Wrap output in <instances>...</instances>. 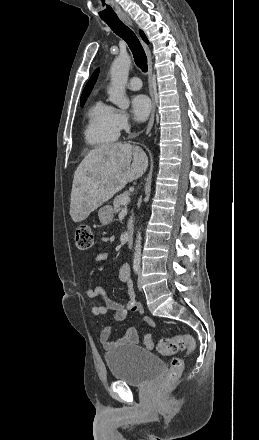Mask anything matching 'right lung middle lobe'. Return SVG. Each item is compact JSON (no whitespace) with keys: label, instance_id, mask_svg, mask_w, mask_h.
<instances>
[{"label":"right lung middle lobe","instance_id":"dd1d6c3e","mask_svg":"<svg viewBox=\"0 0 259 440\" xmlns=\"http://www.w3.org/2000/svg\"><path fill=\"white\" fill-rule=\"evenodd\" d=\"M85 101H86V98L81 99V103H80L81 107L84 105Z\"/></svg>","mask_w":259,"mask_h":440}]
</instances>
